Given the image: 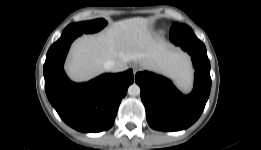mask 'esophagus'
I'll return each instance as SVG.
<instances>
[{
	"label": "esophagus",
	"instance_id": "obj_1",
	"mask_svg": "<svg viewBox=\"0 0 261 150\" xmlns=\"http://www.w3.org/2000/svg\"><path fill=\"white\" fill-rule=\"evenodd\" d=\"M142 67L139 64H135L133 66V72L136 74L137 72L141 71Z\"/></svg>",
	"mask_w": 261,
	"mask_h": 150
}]
</instances>
